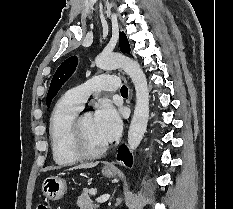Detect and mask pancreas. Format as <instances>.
Returning <instances> with one entry per match:
<instances>
[{"label":"pancreas","instance_id":"cf45deb5","mask_svg":"<svg viewBox=\"0 0 233 209\" xmlns=\"http://www.w3.org/2000/svg\"><path fill=\"white\" fill-rule=\"evenodd\" d=\"M89 194L90 190L85 188L82 194L78 197L77 206L80 207V209H93L98 207V205L92 204Z\"/></svg>","mask_w":233,"mask_h":209}]
</instances>
